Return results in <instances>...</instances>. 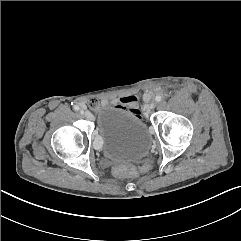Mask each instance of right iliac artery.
Masks as SVG:
<instances>
[{"instance_id":"obj_1","label":"right iliac artery","mask_w":241,"mask_h":241,"mask_svg":"<svg viewBox=\"0 0 241 241\" xmlns=\"http://www.w3.org/2000/svg\"><path fill=\"white\" fill-rule=\"evenodd\" d=\"M73 108L75 111H78L80 109L79 106H77V105H75Z\"/></svg>"}]
</instances>
